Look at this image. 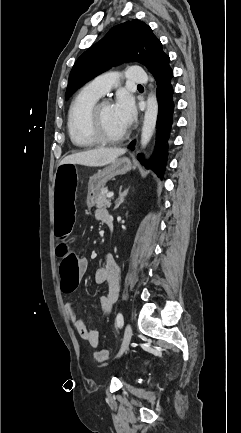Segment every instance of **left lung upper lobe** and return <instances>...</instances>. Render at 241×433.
Instances as JSON below:
<instances>
[{
    "mask_svg": "<svg viewBox=\"0 0 241 433\" xmlns=\"http://www.w3.org/2000/svg\"><path fill=\"white\" fill-rule=\"evenodd\" d=\"M123 61L144 64L154 77L170 67L169 56L163 52L162 44L150 26L139 20L126 21L113 27L77 59L65 97H70L82 84Z\"/></svg>",
    "mask_w": 241,
    "mask_h": 433,
    "instance_id": "1",
    "label": "left lung upper lobe"
}]
</instances>
